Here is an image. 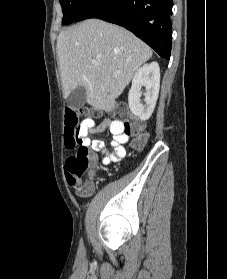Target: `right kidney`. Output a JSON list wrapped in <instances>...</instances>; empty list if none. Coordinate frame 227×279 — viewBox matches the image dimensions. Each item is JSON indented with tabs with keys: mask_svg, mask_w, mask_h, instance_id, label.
Returning a JSON list of instances; mask_svg holds the SVG:
<instances>
[{
	"mask_svg": "<svg viewBox=\"0 0 227 279\" xmlns=\"http://www.w3.org/2000/svg\"><path fill=\"white\" fill-rule=\"evenodd\" d=\"M145 87V104L140 102L141 88ZM160 88V69L157 62L144 64L135 73L128 94L131 112L141 120H148L155 108Z\"/></svg>",
	"mask_w": 227,
	"mask_h": 279,
	"instance_id": "obj_1",
	"label": "right kidney"
}]
</instances>
